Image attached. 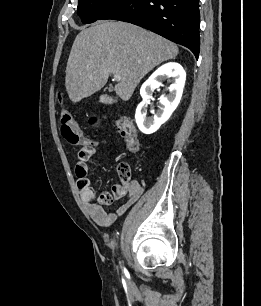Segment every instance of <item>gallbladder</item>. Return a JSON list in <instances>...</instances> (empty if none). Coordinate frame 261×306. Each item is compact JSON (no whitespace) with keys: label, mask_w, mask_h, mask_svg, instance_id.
Instances as JSON below:
<instances>
[{"label":"gallbladder","mask_w":261,"mask_h":306,"mask_svg":"<svg viewBox=\"0 0 261 306\" xmlns=\"http://www.w3.org/2000/svg\"><path fill=\"white\" fill-rule=\"evenodd\" d=\"M108 90H109V91H111L112 89H111V88H109Z\"/></svg>","instance_id":"gallbladder-1"}]
</instances>
